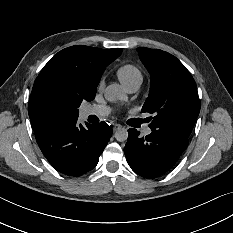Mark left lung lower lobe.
<instances>
[{
  "mask_svg": "<svg viewBox=\"0 0 233 233\" xmlns=\"http://www.w3.org/2000/svg\"><path fill=\"white\" fill-rule=\"evenodd\" d=\"M124 148L131 169L144 178L153 179L167 172L187 148L188 138L151 132L140 137L136 129L128 130Z\"/></svg>",
  "mask_w": 233,
  "mask_h": 233,
  "instance_id": "0a47b994",
  "label": "left lung lower lobe"
}]
</instances>
